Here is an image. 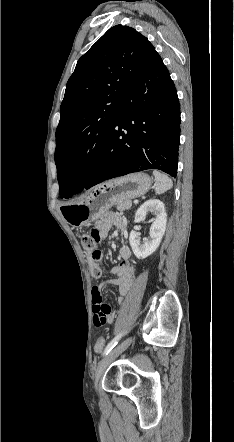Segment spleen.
Instances as JSON below:
<instances>
[{"mask_svg": "<svg viewBox=\"0 0 234 442\" xmlns=\"http://www.w3.org/2000/svg\"><path fill=\"white\" fill-rule=\"evenodd\" d=\"M155 177V192L156 194H163L173 186L172 180L164 173L158 170L153 171Z\"/></svg>", "mask_w": 234, "mask_h": 442, "instance_id": "spleen-1", "label": "spleen"}]
</instances>
